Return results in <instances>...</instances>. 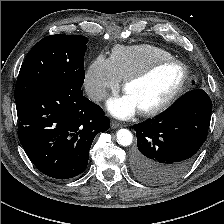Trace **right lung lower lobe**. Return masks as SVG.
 <instances>
[{"mask_svg": "<svg viewBox=\"0 0 224 224\" xmlns=\"http://www.w3.org/2000/svg\"><path fill=\"white\" fill-rule=\"evenodd\" d=\"M16 108L23 149L39 171L56 179L81 174L93 139L110 128L109 118L81 88L41 87L16 102Z\"/></svg>", "mask_w": 224, "mask_h": 224, "instance_id": "obj_1", "label": "right lung lower lobe"}]
</instances>
